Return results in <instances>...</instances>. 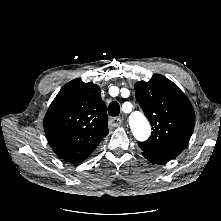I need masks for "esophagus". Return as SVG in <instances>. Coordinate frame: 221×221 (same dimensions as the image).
<instances>
[{
	"label": "esophagus",
	"mask_w": 221,
	"mask_h": 221,
	"mask_svg": "<svg viewBox=\"0 0 221 221\" xmlns=\"http://www.w3.org/2000/svg\"><path fill=\"white\" fill-rule=\"evenodd\" d=\"M110 125L113 126V127H117V126H120L123 122L122 118L120 117H113L110 119Z\"/></svg>",
	"instance_id": "1"
}]
</instances>
